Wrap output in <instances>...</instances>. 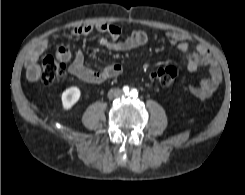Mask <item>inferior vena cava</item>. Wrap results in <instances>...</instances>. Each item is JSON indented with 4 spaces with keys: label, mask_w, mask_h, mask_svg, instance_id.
Masks as SVG:
<instances>
[{
    "label": "inferior vena cava",
    "mask_w": 245,
    "mask_h": 195,
    "mask_svg": "<svg viewBox=\"0 0 245 195\" xmlns=\"http://www.w3.org/2000/svg\"><path fill=\"white\" fill-rule=\"evenodd\" d=\"M123 95V91L117 88L110 89L108 92V98L109 99H114V98H119Z\"/></svg>",
    "instance_id": "1"
}]
</instances>
